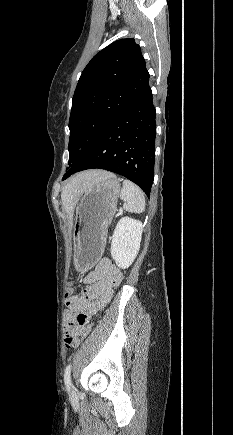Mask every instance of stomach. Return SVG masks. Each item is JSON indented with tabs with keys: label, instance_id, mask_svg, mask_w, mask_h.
Masks as SVG:
<instances>
[{
	"label": "stomach",
	"instance_id": "0dacf381",
	"mask_svg": "<svg viewBox=\"0 0 233 435\" xmlns=\"http://www.w3.org/2000/svg\"><path fill=\"white\" fill-rule=\"evenodd\" d=\"M119 193L120 180L109 173L80 196L73 230L74 266L79 273L92 269L101 257Z\"/></svg>",
	"mask_w": 233,
	"mask_h": 435
}]
</instances>
